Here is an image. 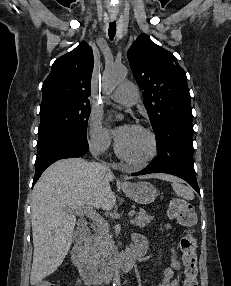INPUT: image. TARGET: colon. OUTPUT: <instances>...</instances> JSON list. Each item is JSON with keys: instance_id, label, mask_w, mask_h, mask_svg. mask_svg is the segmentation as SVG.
Masks as SVG:
<instances>
[{"instance_id": "obj_1", "label": "colon", "mask_w": 231, "mask_h": 286, "mask_svg": "<svg viewBox=\"0 0 231 286\" xmlns=\"http://www.w3.org/2000/svg\"><path fill=\"white\" fill-rule=\"evenodd\" d=\"M169 216L175 219L181 226L185 227V234L180 240L182 261L184 265L183 286H198L197 281V255L196 239L194 237V226L197 222V215L194 207L183 199L172 200L169 207ZM36 286H56L50 281H40Z\"/></svg>"}]
</instances>
